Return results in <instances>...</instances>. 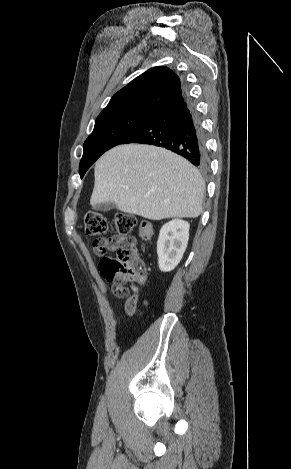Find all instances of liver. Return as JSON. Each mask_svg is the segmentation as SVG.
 Listing matches in <instances>:
<instances>
[{"instance_id": "1", "label": "liver", "mask_w": 291, "mask_h": 469, "mask_svg": "<svg viewBox=\"0 0 291 469\" xmlns=\"http://www.w3.org/2000/svg\"><path fill=\"white\" fill-rule=\"evenodd\" d=\"M90 204L113 203L150 220L196 218L205 183L183 157L151 145L116 146L96 162Z\"/></svg>"}]
</instances>
